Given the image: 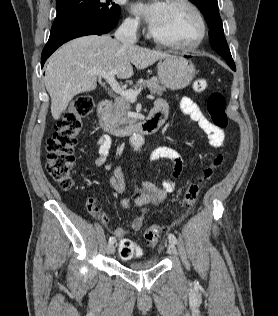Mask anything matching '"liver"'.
Listing matches in <instances>:
<instances>
[{"label": "liver", "instance_id": "obj_1", "mask_svg": "<svg viewBox=\"0 0 278 316\" xmlns=\"http://www.w3.org/2000/svg\"><path fill=\"white\" fill-rule=\"evenodd\" d=\"M168 55L139 46H125L110 35H89L64 44L50 58L45 70V86L51 97V113L59 119L74 96L96 87L94 70H117V77L133 76V65L144 69Z\"/></svg>", "mask_w": 278, "mask_h": 316}]
</instances>
